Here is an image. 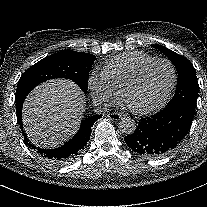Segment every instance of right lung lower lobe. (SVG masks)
Here are the masks:
<instances>
[{
    "instance_id": "obj_1",
    "label": "right lung lower lobe",
    "mask_w": 207,
    "mask_h": 207,
    "mask_svg": "<svg viewBox=\"0 0 207 207\" xmlns=\"http://www.w3.org/2000/svg\"><path fill=\"white\" fill-rule=\"evenodd\" d=\"M24 99L16 101L17 120L24 135V141L42 160L54 165L68 163L81 154L82 150L87 144V141L90 138L91 127L95 121L102 116L96 115L83 120L78 132L63 146L55 149L38 148L29 141L27 134L23 131L22 106Z\"/></svg>"
}]
</instances>
